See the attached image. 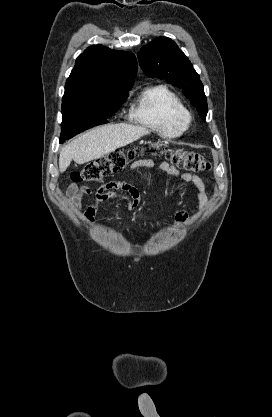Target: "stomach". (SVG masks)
Returning <instances> with one entry per match:
<instances>
[{
    "mask_svg": "<svg viewBox=\"0 0 272 417\" xmlns=\"http://www.w3.org/2000/svg\"><path fill=\"white\" fill-rule=\"evenodd\" d=\"M151 146L152 147H158L159 146V143H153V144H151Z\"/></svg>",
    "mask_w": 272,
    "mask_h": 417,
    "instance_id": "0dacf381",
    "label": "stomach"
}]
</instances>
